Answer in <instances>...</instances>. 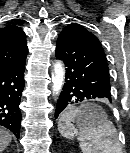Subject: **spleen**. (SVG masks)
I'll list each match as a JSON object with an SVG mask.
<instances>
[{"mask_svg":"<svg viewBox=\"0 0 130 153\" xmlns=\"http://www.w3.org/2000/svg\"><path fill=\"white\" fill-rule=\"evenodd\" d=\"M80 113L81 108L78 107H70L62 113L58 131L63 137L72 139L74 135H78L82 153H122L116 128L111 121L106 119L96 125H85L78 132L73 127V122Z\"/></svg>","mask_w":130,"mask_h":153,"instance_id":"3e777b00","label":"spleen"}]
</instances>
